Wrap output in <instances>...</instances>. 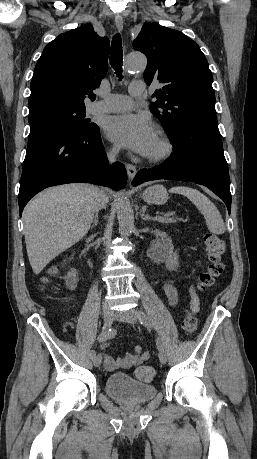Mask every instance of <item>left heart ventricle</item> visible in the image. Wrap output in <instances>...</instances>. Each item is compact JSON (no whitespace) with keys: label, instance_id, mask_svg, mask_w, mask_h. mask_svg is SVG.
I'll return each instance as SVG.
<instances>
[{"label":"left heart ventricle","instance_id":"obj_1","mask_svg":"<svg viewBox=\"0 0 257 459\" xmlns=\"http://www.w3.org/2000/svg\"><path fill=\"white\" fill-rule=\"evenodd\" d=\"M160 150H161V145H160L159 139L156 136L155 142H154L149 154H155V153L159 152Z\"/></svg>","mask_w":257,"mask_h":459}]
</instances>
